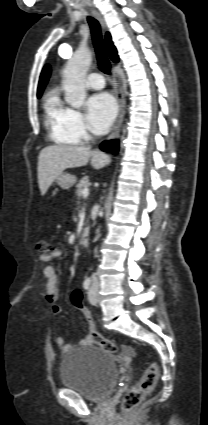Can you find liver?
I'll list each match as a JSON object with an SVG mask.
<instances>
[{"label":"liver","mask_w":208,"mask_h":425,"mask_svg":"<svg viewBox=\"0 0 208 425\" xmlns=\"http://www.w3.org/2000/svg\"><path fill=\"white\" fill-rule=\"evenodd\" d=\"M90 161L94 169L110 164V156L99 150L74 145H51L43 148L38 157V184L45 195L54 180L68 168L82 167Z\"/></svg>","instance_id":"obj_1"}]
</instances>
